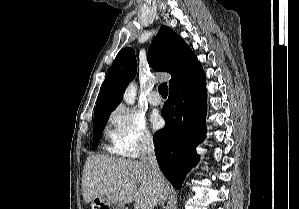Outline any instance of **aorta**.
Returning a JSON list of instances; mask_svg holds the SVG:
<instances>
[{"label":"aorta","mask_w":299,"mask_h":209,"mask_svg":"<svg viewBox=\"0 0 299 209\" xmlns=\"http://www.w3.org/2000/svg\"><path fill=\"white\" fill-rule=\"evenodd\" d=\"M136 85L135 84H131L129 85L128 89L126 90V92L123 95V100L129 105L134 104L135 102V96H136Z\"/></svg>","instance_id":"aorta-1"}]
</instances>
